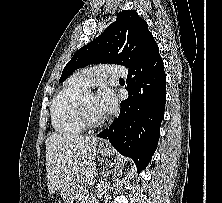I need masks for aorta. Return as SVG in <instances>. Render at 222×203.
Listing matches in <instances>:
<instances>
[{
  "instance_id": "1",
  "label": "aorta",
  "mask_w": 222,
  "mask_h": 203,
  "mask_svg": "<svg viewBox=\"0 0 222 203\" xmlns=\"http://www.w3.org/2000/svg\"><path fill=\"white\" fill-rule=\"evenodd\" d=\"M109 185H110V183H106V186H108V187H109Z\"/></svg>"
}]
</instances>
